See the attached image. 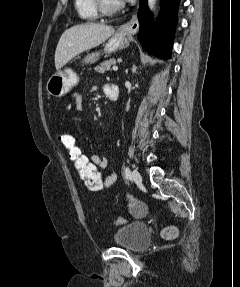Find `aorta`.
Here are the masks:
<instances>
[{
	"mask_svg": "<svg viewBox=\"0 0 240 287\" xmlns=\"http://www.w3.org/2000/svg\"><path fill=\"white\" fill-rule=\"evenodd\" d=\"M156 4V0H148V6L151 11L154 10Z\"/></svg>",
	"mask_w": 240,
	"mask_h": 287,
	"instance_id": "1",
	"label": "aorta"
}]
</instances>
